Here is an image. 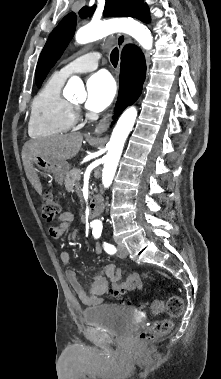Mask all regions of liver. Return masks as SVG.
<instances>
[{
  "label": "liver",
  "instance_id": "obj_1",
  "mask_svg": "<svg viewBox=\"0 0 221 379\" xmlns=\"http://www.w3.org/2000/svg\"><path fill=\"white\" fill-rule=\"evenodd\" d=\"M83 136L80 132L52 136L44 139L27 141L22 148V160L26 176L35 190L41 195L42 187L33 168L36 157L66 161L75 157L80 151Z\"/></svg>",
  "mask_w": 221,
  "mask_h": 379
}]
</instances>
